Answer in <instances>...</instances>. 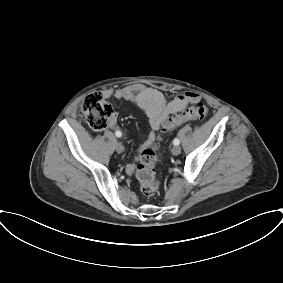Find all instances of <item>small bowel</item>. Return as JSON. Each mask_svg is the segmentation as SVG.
I'll use <instances>...</instances> for the list:
<instances>
[{"label":"small bowel","mask_w":283,"mask_h":283,"mask_svg":"<svg viewBox=\"0 0 283 283\" xmlns=\"http://www.w3.org/2000/svg\"><path fill=\"white\" fill-rule=\"evenodd\" d=\"M107 99H124L136 104L141 108L149 119L151 131L146 141L140 146L139 151L148 148L155 140V131L158 130L166 117L170 114L182 111L188 104L195 103L200 100V96L194 92L181 93L172 100L167 101L161 91L145 87L142 85H132L118 90H106L103 93ZM108 128L117 130L118 113L113 112ZM135 164L130 163L126 167L128 174H133L135 171Z\"/></svg>","instance_id":"1"}]
</instances>
